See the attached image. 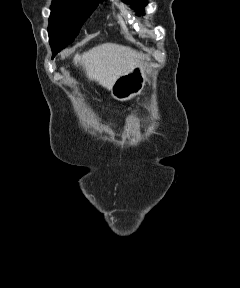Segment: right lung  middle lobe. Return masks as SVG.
Returning <instances> with one entry per match:
<instances>
[{
	"label": "right lung middle lobe",
	"mask_w": 240,
	"mask_h": 288,
	"mask_svg": "<svg viewBox=\"0 0 240 288\" xmlns=\"http://www.w3.org/2000/svg\"><path fill=\"white\" fill-rule=\"evenodd\" d=\"M103 0H53L49 18V43L53 54L70 44L84 21Z\"/></svg>",
	"instance_id": "1"
}]
</instances>
